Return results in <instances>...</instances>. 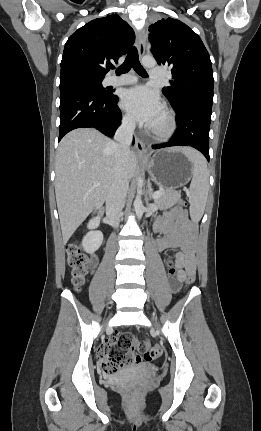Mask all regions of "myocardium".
<instances>
[{
  "instance_id": "myocardium-1",
  "label": "myocardium",
  "mask_w": 261,
  "mask_h": 431,
  "mask_svg": "<svg viewBox=\"0 0 261 431\" xmlns=\"http://www.w3.org/2000/svg\"><path fill=\"white\" fill-rule=\"evenodd\" d=\"M163 125L160 127H151L150 132L159 140H167L173 136L176 131V119L174 113L169 109L163 111Z\"/></svg>"
}]
</instances>
